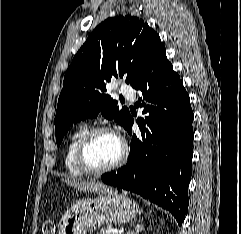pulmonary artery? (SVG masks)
Returning a JSON list of instances; mask_svg holds the SVG:
<instances>
[{"label":"pulmonary artery","mask_w":241,"mask_h":234,"mask_svg":"<svg viewBox=\"0 0 241 234\" xmlns=\"http://www.w3.org/2000/svg\"><path fill=\"white\" fill-rule=\"evenodd\" d=\"M120 91L124 96H126L130 100H132V101L135 100V92L131 87L124 85L121 87Z\"/></svg>","instance_id":"obj_1"}]
</instances>
